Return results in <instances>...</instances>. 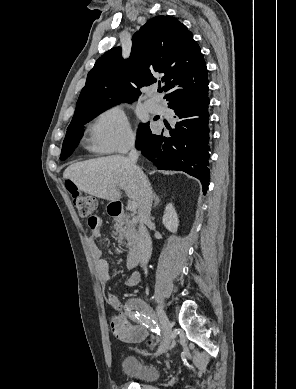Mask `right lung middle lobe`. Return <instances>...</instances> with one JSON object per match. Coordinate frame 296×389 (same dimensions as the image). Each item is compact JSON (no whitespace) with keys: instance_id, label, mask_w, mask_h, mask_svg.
Returning a JSON list of instances; mask_svg holds the SVG:
<instances>
[{"instance_id":"dd1d6c3e","label":"right lung middle lobe","mask_w":296,"mask_h":389,"mask_svg":"<svg viewBox=\"0 0 296 389\" xmlns=\"http://www.w3.org/2000/svg\"><path fill=\"white\" fill-rule=\"evenodd\" d=\"M109 107L111 106L89 108L79 113L78 115L73 116V119L67 128L66 137L63 141L60 159L65 160L74 151L83 135V125ZM150 134L151 129L149 124H140L137 131L136 145L141 146L148 139Z\"/></svg>"}]
</instances>
